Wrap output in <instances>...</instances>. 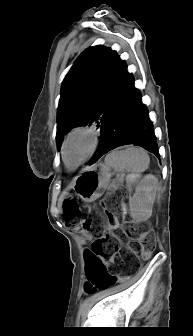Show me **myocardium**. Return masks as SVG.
<instances>
[{
  "label": "myocardium",
  "instance_id": "obj_1",
  "mask_svg": "<svg viewBox=\"0 0 193 336\" xmlns=\"http://www.w3.org/2000/svg\"><path fill=\"white\" fill-rule=\"evenodd\" d=\"M79 134H84V135L89 136L90 140H91V145H90L88 153L86 154V156L81 161H79L75 165H70L69 162L66 159V147H67V144L69 143V141L74 136L79 135ZM99 143H100V135H99V132L95 128L88 127V126H79V127H76L74 129H72L64 137L63 142L61 144V157H62V160H63L64 164L69 169L78 168L79 166L84 164L86 161H88L94 155V153L98 149Z\"/></svg>",
  "mask_w": 193,
  "mask_h": 336
}]
</instances>
